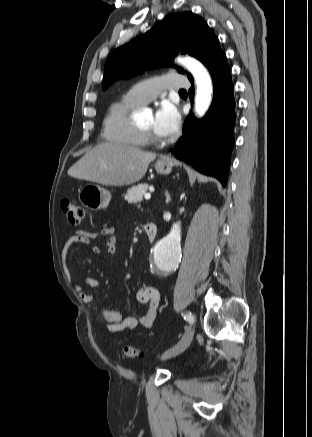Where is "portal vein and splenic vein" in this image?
<instances>
[{
    "mask_svg": "<svg viewBox=\"0 0 312 437\" xmlns=\"http://www.w3.org/2000/svg\"><path fill=\"white\" fill-rule=\"evenodd\" d=\"M144 197H145L146 200H149L151 198V194L147 193V194L144 195Z\"/></svg>",
    "mask_w": 312,
    "mask_h": 437,
    "instance_id": "portal-vein-and-splenic-vein-1",
    "label": "portal vein and splenic vein"
}]
</instances>
